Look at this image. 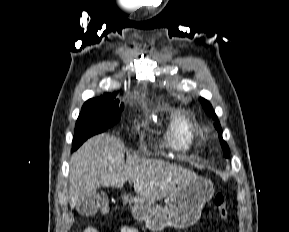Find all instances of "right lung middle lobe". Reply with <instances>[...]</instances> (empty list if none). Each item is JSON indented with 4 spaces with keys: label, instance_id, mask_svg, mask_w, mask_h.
I'll return each mask as SVG.
<instances>
[{
    "label": "right lung middle lobe",
    "instance_id": "dd1d6c3e",
    "mask_svg": "<svg viewBox=\"0 0 289 232\" xmlns=\"http://www.w3.org/2000/svg\"><path fill=\"white\" fill-rule=\"evenodd\" d=\"M124 105L111 99H90L82 107L77 119L73 150L89 137L104 132L119 122Z\"/></svg>",
    "mask_w": 289,
    "mask_h": 232
}]
</instances>
